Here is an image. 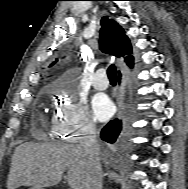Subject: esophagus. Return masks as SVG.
<instances>
[{
	"label": "esophagus",
	"mask_w": 188,
	"mask_h": 189,
	"mask_svg": "<svg viewBox=\"0 0 188 189\" xmlns=\"http://www.w3.org/2000/svg\"><path fill=\"white\" fill-rule=\"evenodd\" d=\"M117 107H118V109H117V115L116 116L119 118L122 114L120 98L117 99Z\"/></svg>",
	"instance_id": "obj_1"
}]
</instances>
